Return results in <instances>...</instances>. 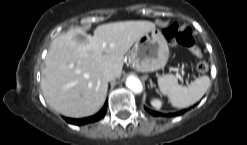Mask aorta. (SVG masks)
<instances>
[{"instance_id":"aorta-1","label":"aorta","mask_w":247,"mask_h":145,"mask_svg":"<svg viewBox=\"0 0 247 145\" xmlns=\"http://www.w3.org/2000/svg\"><path fill=\"white\" fill-rule=\"evenodd\" d=\"M126 86L136 94L141 93L143 90V86L140 79L135 76H129L126 79Z\"/></svg>"}]
</instances>
